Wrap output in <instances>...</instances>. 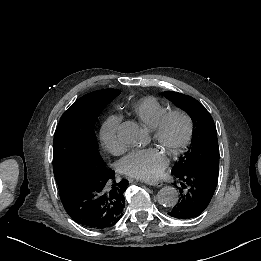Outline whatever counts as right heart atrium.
Listing matches in <instances>:
<instances>
[{"mask_svg":"<svg viewBox=\"0 0 261 261\" xmlns=\"http://www.w3.org/2000/svg\"><path fill=\"white\" fill-rule=\"evenodd\" d=\"M119 120L116 116H109L104 121L101 128V142L104 150L111 155H120L126 149V146L118 139Z\"/></svg>","mask_w":261,"mask_h":261,"instance_id":"obj_1","label":"right heart atrium"}]
</instances>
